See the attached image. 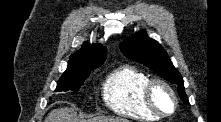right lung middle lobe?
I'll use <instances>...</instances> for the list:
<instances>
[{
  "mask_svg": "<svg viewBox=\"0 0 221 122\" xmlns=\"http://www.w3.org/2000/svg\"><path fill=\"white\" fill-rule=\"evenodd\" d=\"M90 71L80 73H64L57 82L55 92L59 91H78L84 81L88 78Z\"/></svg>",
  "mask_w": 221,
  "mask_h": 122,
  "instance_id": "dd1d6c3e",
  "label": "right lung middle lobe"
}]
</instances>
